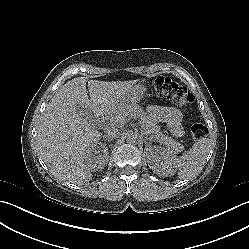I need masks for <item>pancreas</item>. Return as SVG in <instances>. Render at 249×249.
<instances>
[{"instance_id":"pancreas-1","label":"pancreas","mask_w":249,"mask_h":249,"mask_svg":"<svg viewBox=\"0 0 249 249\" xmlns=\"http://www.w3.org/2000/svg\"><path fill=\"white\" fill-rule=\"evenodd\" d=\"M120 115L123 118H136L141 121L142 126L146 131H149L152 138L158 140L161 143L166 144L169 148L177 150L181 147V144L171 137L165 136L160 132V127L157 122L148 116L143 108L138 104H129L121 109Z\"/></svg>"}]
</instances>
